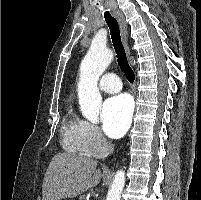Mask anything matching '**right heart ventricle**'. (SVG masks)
<instances>
[{"label":"right heart ventricle","mask_w":201,"mask_h":200,"mask_svg":"<svg viewBox=\"0 0 201 200\" xmlns=\"http://www.w3.org/2000/svg\"><path fill=\"white\" fill-rule=\"evenodd\" d=\"M62 141L66 150L77 154H87L81 137V123L71 111H68L62 126Z\"/></svg>","instance_id":"e07e8e85"}]
</instances>
